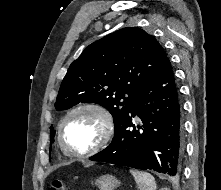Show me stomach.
Wrapping results in <instances>:
<instances>
[{
    "instance_id": "1",
    "label": "stomach",
    "mask_w": 221,
    "mask_h": 190,
    "mask_svg": "<svg viewBox=\"0 0 221 190\" xmlns=\"http://www.w3.org/2000/svg\"><path fill=\"white\" fill-rule=\"evenodd\" d=\"M121 182L112 175H102L95 180V185L99 187L100 190H114L118 187Z\"/></svg>"
}]
</instances>
